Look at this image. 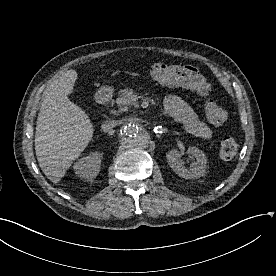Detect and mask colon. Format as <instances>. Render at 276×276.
<instances>
[{
    "mask_svg": "<svg viewBox=\"0 0 276 276\" xmlns=\"http://www.w3.org/2000/svg\"><path fill=\"white\" fill-rule=\"evenodd\" d=\"M149 72L162 85L185 87L202 96L205 99L206 117L212 125L220 126L227 120L226 109L210 97L211 85L195 66L157 63L150 67ZM238 150L239 145L234 138L225 137L221 141L220 155L223 159H233Z\"/></svg>",
    "mask_w": 276,
    "mask_h": 276,
    "instance_id": "5ec220e1",
    "label": "colon"
}]
</instances>
